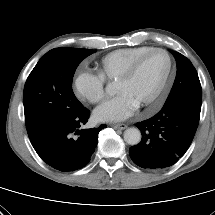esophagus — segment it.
Here are the masks:
<instances>
[{
    "mask_svg": "<svg viewBox=\"0 0 215 215\" xmlns=\"http://www.w3.org/2000/svg\"><path fill=\"white\" fill-rule=\"evenodd\" d=\"M114 129H120V130H124L127 128L126 124H112L111 125Z\"/></svg>",
    "mask_w": 215,
    "mask_h": 215,
    "instance_id": "esophagus-1",
    "label": "esophagus"
}]
</instances>
